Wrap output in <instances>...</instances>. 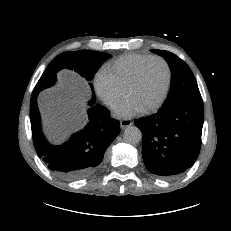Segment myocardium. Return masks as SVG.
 Returning a JSON list of instances; mask_svg holds the SVG:
<instances>
[{
  "label": "myocardium",
  "mask_w": 231,
  "mask_h": 231,
  "mask_svg": "<svg viewBox=\"0 0 231 231\" xmlns=\"http://www.w3.org/2000/svg\"><path fill=\"white\" fill-rule=\"evenodd\" d=\"M152 60H158V61H161L164 64L165 69H166V82H165L163 91H162L160 97L158 98V100L154 104H152L149 107L145 108L144 109L145 112H152V111H155L156 109H158L162 105V103L164 102V100H165V98H166V96L168 94L170 84H171V69H170V66H169L168 62L164 58H162L160 56H150L149 58L144 60L137 67V69L135 70V72H134L132 78L130 79V81H129L127 87H126V90H125L126 94L128 95L129 91L139 81L145 66Z\"/></svg>",
  "instance_id": "myocardium-1"
}]
</instances>
